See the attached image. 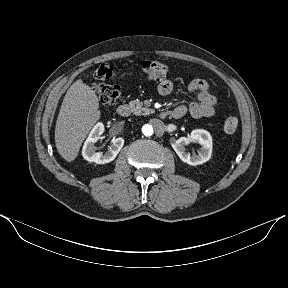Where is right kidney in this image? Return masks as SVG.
<instances>
[{
  "label": "right kidney",
  "mask_w": 288,
  "mask_h": 288,
  "mask_svg": "<svg viewBox=\"0 0 288 288\" xmlns=\"http://www.w3.org/2000/svg\"><path fill=\"white\" fill-rule=\"evenodd\" d=\"M103 132L104 125L102 123H97L91 130L82 149V155L85 160L96 164H106L113 161L120 152L124 145V139L121 137L113 139L108 151L104 154L102 152H96L95 143L99 140Z\"/></svg>",
  "instance_id": "1"
}]
</instances>
